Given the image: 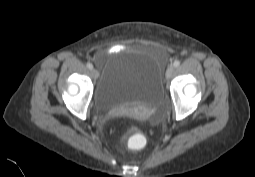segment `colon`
I'll return each instance as SVG.
<instances>
[{
  "mask_svg": "<svg viewBox=\"0 0 255 177\" xmlns=\"http://www.w3.org/2000/svg\"><path fill=\"white\" fill-rule=\"evenodd\" d=\"M143 137L135 133L128 139V145L133 149H140L143 145Z\"/></svg>",
  "mask_w": 255,
  "mask_h": 177,
  "instance_id": "5ec220e1",
  "label": "colon"
}]
</instances>
